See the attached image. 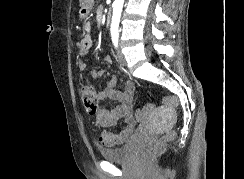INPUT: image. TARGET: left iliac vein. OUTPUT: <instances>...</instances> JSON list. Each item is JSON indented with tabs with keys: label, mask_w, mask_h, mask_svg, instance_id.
Segmentation results:
<instances>
[{
	"label": "left iliac vein",
	"mask_w": 244,
	"mask_h": 179,
	"mask_svg": "<svg viewBox=\"0 0 244 179\" xmlns=\"http://www.w3.org/2000/svg\"><path fill=\"white\" fill-rule=\"evenodd\" d=\"M117 57L121 65L125 66L127 64L125 56L120 50L117 51Z\"/></svg>",
	"instance_id": "4c4485c4"
}]
</instances>
